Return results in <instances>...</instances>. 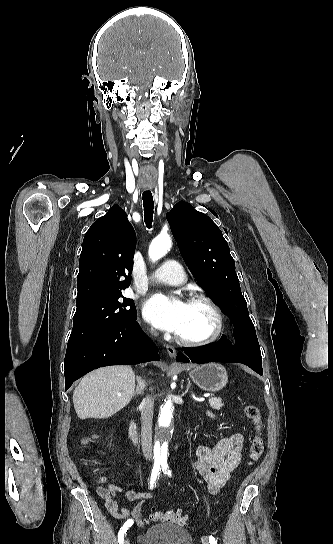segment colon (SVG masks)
I'll list each match as a JSON object with an SVG mask.
<instances>
[{
  "instance_id": "1",
  "label": "colon",
  "mask_w": 333,
  "mask_h": 544,
  "mask_svg": "<svg viewBox=\"0 0 333 544\" xmlns=\"http://www.w3.org/2000/svg\"><path fill=\"white\" fill-rule=\"evenodd\" d=\"M244 413L255 429V434L250 444V458L252 462H256L260 459L264 450V443L261 436L263 426L262 416L259 408L252 404H248L244 407ZM147 521H163L185 526L188 523V516L185 513L176 510L164 512L153 511L148 515Z\"/></svg>"
}]
</instances>
